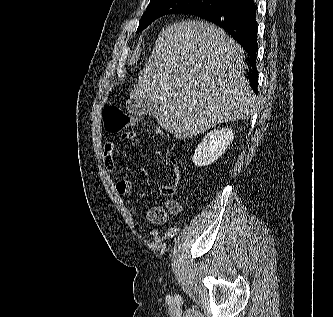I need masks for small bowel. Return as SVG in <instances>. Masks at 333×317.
Returning <instances> with one entry per match:
<instances>
[{
    "label": "small bowel",
    "mask_w": 333,
    "mask_h": 317,
    "mask_svg": "<svg viewBox=\"0 0 333 317\" xmlns=\"http://www.w3.org/2000/svg\"><path fill=\"white\" fill-rule=\"evenodd\" d=\"M120 140L128 141L134 143L137 141V134L135 132H127L123 133L120 136ZM116 144L114 141H108L104 146L103 151V162L106 169L112 171L115 168L114 162V151ZM173 176L174 183L172 185H161L160 192L164 196L171 197L169 198L163 206H154L152 207L147 215V220L156 225L164 224L168 221L171 215H176L181 210V204L178 199L174 198L178 191V186L181 181L180 171L177 166L173 163ZM133 189V185L130 181L129 175H124L117 183H116V191L117 193L124 197L128 196ZM148 234L154 238L160 236V232L157 230H150Z\"/></svg>",
    "instance_id": "small-bowel-1"
}]
</instances>
